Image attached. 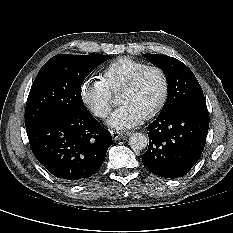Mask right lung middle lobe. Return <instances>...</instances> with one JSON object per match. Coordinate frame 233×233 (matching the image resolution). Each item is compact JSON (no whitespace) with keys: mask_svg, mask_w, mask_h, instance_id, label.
<instances>
[{"mask_svg":"<svg viewBox=\"0 0 233 233\" xmlns=\"http://www.w3.org/2000/svg\"><path fill=\"white\" fill-rule=\"evenodd\" d=\"M110 57L102 54H60L49 59L31 87L25 109V126L86 110L81 85L97 66Z\"/></svg>","mask_w":233,"mask_h":233,"instance_id":"obj_1","label":"right lung middle lobe"}]
</instances>
